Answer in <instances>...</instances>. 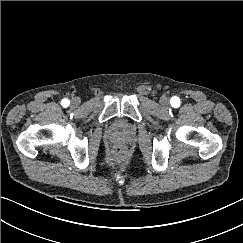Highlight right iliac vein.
<instances>
[{
    "instance_id": "obj_1",
    "label": "right iliac vein",
    "mask_w": 243,
    "mask_h": 243,
    "mask_svg": "<svg viewBox=\"0 0 243 243\" xmlns=\"http://www.w3.org/2000/svg\"><path fill=\"white\" fill-rule=\"evenodd\" d=\"M79 103H80V100H79L78 98H74V99H72V101H71V104H72L73 106H77Z\"/></svg>"
}]
</instances>
